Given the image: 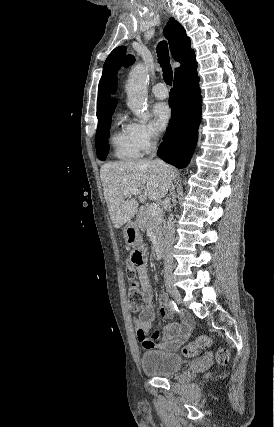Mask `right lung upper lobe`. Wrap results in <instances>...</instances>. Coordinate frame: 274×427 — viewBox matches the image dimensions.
I'll return each mask as SVG.
<instances>
[{"label": "right lung upper lobe", "instance_id": "right-lung-upper-lobe-1", "mask_svg": "<svg viewBox=\"0 0 274 427\" xmlns=\"http://www.w3.org/2000/svg\"><path fill=\"white\" fill-rule=\"evenodd\" d=\"M164 35L169 41L174 59L181 63V67L175 70V76L191 65L196 64L194 51L190 48V39L187 37L185 29L174 18H171L166 25ZM125 52L126 47L124 46L115 48L104 63L98 90V112L116 105V99L111 98L109 94L111 78L121 63L131 65L134 62L132 55H128L125 58Z\"/></svg>", "mask_w": 274, "mask_h": 427}]
</instances>
